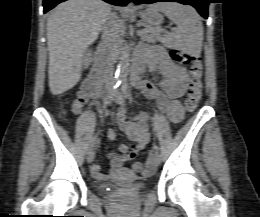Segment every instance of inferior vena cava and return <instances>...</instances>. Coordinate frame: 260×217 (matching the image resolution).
<instances>
[{"mask_svg":"<svg viewBox=\"0 0 260 217\" xmlns=\"http://www.w3.org/2000/svg\"><path fill=\"white\" fill-rule=\"evenodd\" d=\"M122 29L123 22L115 14H111L103 26L102 39L104 41L107 54L110 57L109 63L105 66L104 71L105 82L108 85L113 83L114 68L111 57L118 48Z\"/></svg>","mask_w":260,"mask_h":217,"instance_id":"1","label":"inferior vena cava"}]
</instances>
